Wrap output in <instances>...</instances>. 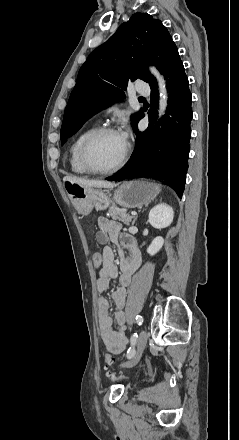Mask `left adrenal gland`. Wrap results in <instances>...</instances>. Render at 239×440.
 <instances>
[{
	"label": "left adrenal gland",
	"mask_w": 239,
	"mask_h": 440,
	"mask_svg": "<svg viewBox=\"0 0 239 440\" xmlns=\"http://www.w3.org/2000/svg\"><path fill=\"white\" fill-rule=\"evenodd\" d=\"M136 220H137V216H135V218H134V220L132 222V226H133V224H135Z\"/></svg>",
	"instance_id": "1"
}]
</instances>
